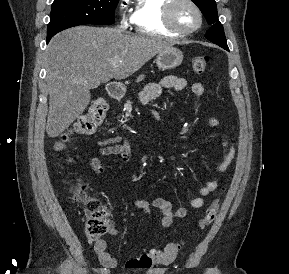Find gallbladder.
Listing matches in <instances>:
<instances>
[{
    "label": "gallbladder",
    "mask_w": 289,
    "mask_h": 274,
    "mask_svg": "<svg viewBox=\"0 0 289 274\" xmlns=\"http://www.w3.org/2000/svg\"><path fill=\"white\" fill-rule=\"evenodd\" d=\"M99 85H100V83L94 82V83L91 84V89H95V88H97Z\"/></svg>",
    "instance_id": "obj_1"
}]
</instances>
